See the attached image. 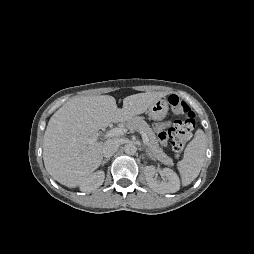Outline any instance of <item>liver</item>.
I'll use <instances>...</instances> for the list:
<instances>
[{"label": "liver", "mask_w": 254, "mask_h": 254, "mask_svg": "<svg viewBox=\"0 0 254 254\" xmlns=\"http://www.w3.org/2000/svg\"><path fill=\"white\" fill-rule=\"evenodd\" d=\"M166 95L165 92L130 95L123 99L121 109L110 95L69 100L50 118L44 134L46 170L67 187L81 185L102 163L104 143L97 141L98 130L146 112Z\"/></svg>", "instance_id": "6515ba94"}]
</instances>
